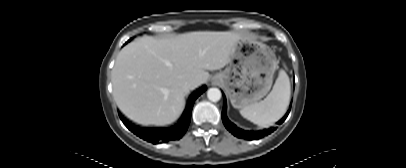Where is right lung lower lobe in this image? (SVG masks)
Here are the masks:
<instances>
[{
    "label": "right lung lower lobe",
    "mask_w": 406,
    "mask_h": 168,
    "mask_svg": "<svg viewBox=\"0 0 406 168\" xmlns=\"http://www.w3.org/2000/svg\"><path fill=\"white\" fill-rule=\"evenodd\" d=\"M206 90V86L201 87L198 89L190 98L189 104L187 109L183 112L181 118L179 119L178 123L175 125L168 127V128H145L137 126L130 121L126 120L120 113L119 116L125 126L136 134L138 137L151 142L153 144H157L160 142H168L172 140H179L185 134L186 130L188 129L190 120H191V113L193 104L198 96H200Z\"/></svg>",
    "instance_id": "obj_1"
}]
</instances>
